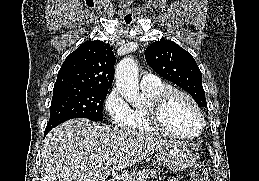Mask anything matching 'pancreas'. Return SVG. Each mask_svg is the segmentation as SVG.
Masks as SVG:
<instances>
[{
  "instance_id": "cf45deb5",
  "label": "pancreas",
  "mask_w": 259,
  "mask_h": 181,
  "mask_svg": "<svg viewBox=\"0 0 259 181\" xmlns=\"http://www.w3.org/2000/svg\"><path fill=\"white\" fill-rule=\"evenodd\" d=\"M160 172H157L155 170H138L133 172L129 178L125 181H147L149 178H155L157 175H159Z\"/></svg>"
}]
</instances>
